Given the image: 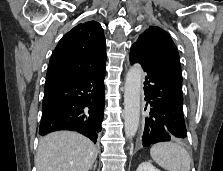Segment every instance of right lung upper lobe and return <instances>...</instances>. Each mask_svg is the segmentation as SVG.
Here are the masks:
<instances>
[{
	"label": "right lung upper lobe",
	"instance_id": "cb5924a9",
	"mask_svg": "<svg viewBox=\"0 0 223 171\" xmlns=\"http://www.w3.org/2000/svg\"><path fill=\"white\" fill-rule=\"evenodd\" d=\"M106 39L96 21L79 24L66 33L49 62L45 90L81 80L105 66Z\"/></svg>",
	"mask_w": 223,
	"mask_h": 171
}]
</instances>
